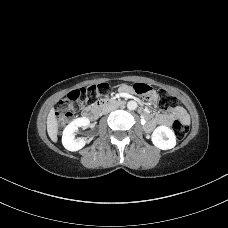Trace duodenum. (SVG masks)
Returning a JSON list of instances; mask_svg holds the SVG:
<instances>
[{"mask_svg":"<svg viewBox=\"0 0 228 228\" xmlns=\"http://www.w3.org/2000/svg\"><path fill=\"white\" fill-rule=\"evenodd\" d=\"M110 105L123 106L124 101H122L120 99H102L99 102H97L95 105L85 108L82 112V117L84 119L94 121V120L98 119V117L101 115L102 110L105 107L110 106ZM145 120H146L145 127H147V128H152L153 126L158 124L160 121L157 116L151 117V118L146 117Z\"/></svg>","mask_w":228,"mask_h":228,"instance_id":"1","label":"duodenum"}]
</instances>
